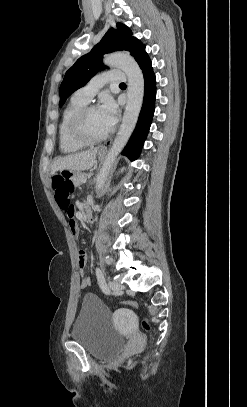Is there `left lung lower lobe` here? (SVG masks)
I'll list each match as a JSON object with an SVG mask.
<instances>
[{"label": "left lung lower lobe", "instance_id": "1", "mask_svg": "<svg viewBox=\"0 0 247 407\" xmlns=\"http://www.w3.org/2000/svg\"><path fill=\"white\" fill-rule=\"evenodd\" d=\"M137 63L144 75V100L136 128L127 146L122 151V154L127 156L130 160H136L140 155L154 115L156 97L155 74L147 53L143 55Z\"/></svg>", "mask_w": 247, "mask_h": 407}]
</instances>
